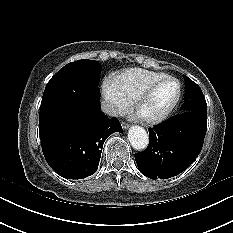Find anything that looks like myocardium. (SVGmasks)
I'll list each match as a JSON object with an SVG mask.
<instances>
[{
  "instance_id": "myocardium-1",
  "label": "myocardium",
  "mask_w": 233,
  "mask_h": 233,
  "mask_svg": "<svg viewBox=\"0 0 233 233\" xmlns=\"http://www.w3.org/2000/svg\"><path fill=\"white\" fill-rule=\"evenodd\" d=\"M164 81H172L176 85V95L170 105L159 115L154 117H143L139 114L138 109L141 103L150 95L152 90L161 82ZM181 98V85L180 82L172 76H162L154 81H152L149 85H147L137 96L134 98L133 101V110L138 118L147 125H156L164 121L176 108Z\"/></svg>"
}]
</instances>
